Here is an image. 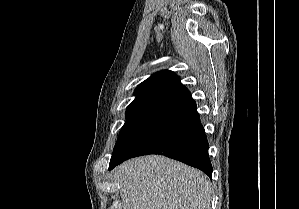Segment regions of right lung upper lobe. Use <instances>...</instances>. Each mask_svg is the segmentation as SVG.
Here are the masks:
<instances>
[{
	"label": "right lung upper lobe",
	"mask_w": 299,
	"mask_h": 209,
	"mask_svg": "<svg viewBox=\"0 0 299 209\" xmlns=\"http://www.w3.org/2000/svg\"><path fill=\"white\" fill-rule=\"evenodd\" d=\"M184 87L174 72L163 70L152 74L135 89V99L130 105L153 103L160 105L176 91Z\"/></svg>",
	"instance_id": "right-lung-upper-lobe-1"
}]
</instances>
